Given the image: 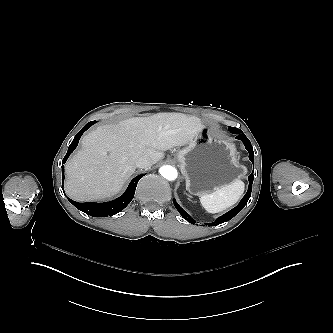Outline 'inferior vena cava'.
<instances>
[{
    "mask_svg": "<svg viewBox=\"0 0 333 333\" xmlns=\"http://www.w3.org/2000/svg\"><path fill=\"white\" fill-rule=\"evenodd\" d=\"M152 165L149 158L143 156L136 161V166L139 168H148Z\"/></svg>",
    "mask_w": 333,
    "mask_h": 333,
    "instance_id": "inferior-vena-cava-1",
    "label": "inferior vena cava"
}]
</instances>
